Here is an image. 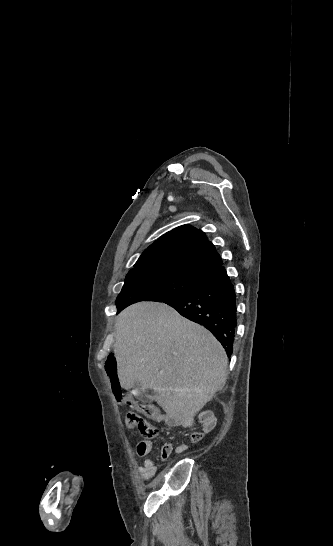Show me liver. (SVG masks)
Masks as SVG:
<instances>
[{
	"label": "liver",
	"instance_id": "liver-1",
	"mask_svg": "<svg viewBox=\"0 0 333 546\" xmlns=\"http://www.w3.org/2000/svg\"><path fill=\"white\" fill-rule=\"evenodd\" d=\"M114 354L122 388L154 390L166 414L185 424L226 383L221 344L164 303H137L118 315Z\"/></svg>",
	"mask_w": 333,
	"mask_h": 546
}]
</instances>
